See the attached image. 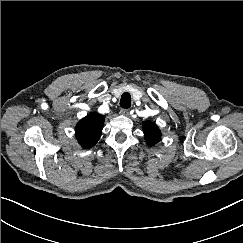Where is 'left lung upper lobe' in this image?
<instances>
[{"instance_id":"obj_1","label":"left lung upper lobe","mask_w":243,"mask_h":243,"mask_svg":"<svg viewBox=\"0 0 243 243\" xmlns=\"http://www.w3.org/2000/svg\"><path fill=\"white\" fill-rule=\"evenodd\" d=\"M143 132L149 146L155 145L161 138V132L158 126L152 122L145 121L143 123Z\"/></svg>"}]
</instances>
